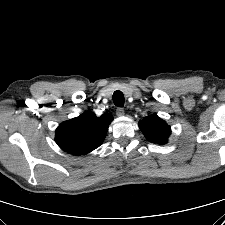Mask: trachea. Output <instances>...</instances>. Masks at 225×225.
Wrapping results in <instances>:
<instances>
[{"mask_svg":"<svg viewBox=\"0 0 225 225\" xmlns=\"http://www.w3.org/2000/svg\"><path fill=\"white\" fill-rule=\"evenodd\" d=\"M113 102L118 107L124 106V95L121 91L117 90L113 94Z\"/></svg>","mask_w":225,"mask_h":225,"instance_id":"3493384b","label":"trachea"}]
</instances>
